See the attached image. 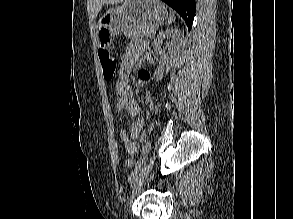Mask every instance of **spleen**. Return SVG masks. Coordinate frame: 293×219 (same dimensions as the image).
Segmentation results:
<instances>
[{
  "mask_svg": "<svg viewBox=\"0 0 293 219\" xmlns=\"http://www.w3.org/2000/svg\"><path fill=\"white\" fill-rule=\"evenodd\" d=\"M174 21H175V16H174V13L171 12L168 18V24H171Z\"/></svg>",
  "mask_w": 293,
  "mask_h": 219,
  "instance_id": "3e777b00",
  "label": "spleen"
}]
</instances>
